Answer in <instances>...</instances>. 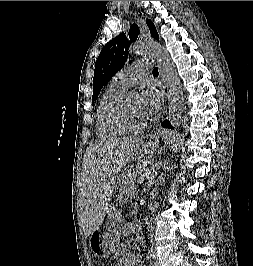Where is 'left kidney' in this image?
<instances>
[{
  "label": "left kidney",
  "mask_w": 253,
  "mask_h": 266,
  "mask_svg": "<svg viewBox=\"0 0 253 266\" xmlns=\"http://www.w3.org/2000/svg\"><path fill=\"white\" fill-rule=\"evenodd\" d=\"M131 233H134V227L132 226V224H129L126 227V234H131Z\"/></svg>",
  "instance_id": "1"
}]
</instances>
